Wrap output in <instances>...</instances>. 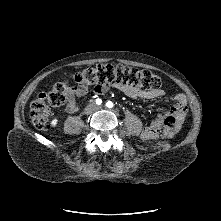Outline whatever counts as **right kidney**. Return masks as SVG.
<instances>
[{
  "instance_id": "1",
  "label": "right kidney",
  "mask_w": 221,
  "mask_h": 221,
  "mask_svg": "<svg viewBox=\"0 0 221 221\" xmlns=\"http://www.w3.org/2000/svg\"><path fill=\"white\" fill-rule=\"evenodd\" d=\"M50 124H51L52 127H56L57 124H58V119H57V118H54V119L51 121Z\"/></svg>"
}]
</instances>
